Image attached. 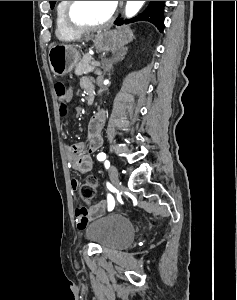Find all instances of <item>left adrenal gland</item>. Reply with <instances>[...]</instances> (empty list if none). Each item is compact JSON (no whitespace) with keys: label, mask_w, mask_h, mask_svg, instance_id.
<instances>
[{"label":"left adrenal gland","mask_w":237,"mask_h":300,"mask_svg":"<svg viewBox=\"0 0 237 300\" xmlns=\"http://www.w3.org/2000/svg\"><path fill=\"white\" fill-rule=\"evenodd\" d=\"M127 51V47H121V49L117 51L116 55L112 57V59H102V67L104 69V73H110V69H112V65H114V63L123 61Z\"/></svg>","instance_id":"obj_1"}]
</instances>
